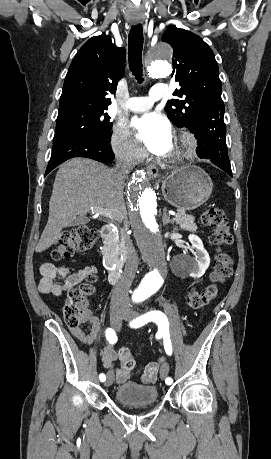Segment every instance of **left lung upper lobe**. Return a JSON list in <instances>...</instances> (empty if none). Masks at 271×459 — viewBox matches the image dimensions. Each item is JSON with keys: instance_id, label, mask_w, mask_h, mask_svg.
<instances>
[{"instance_id": "1", "label": "left lung upper lobe", "mask_w": 271, "mask_h": 459, "mask_svg": "<svg viewBox=\"0 0 271 459\" xmlns=\"http://www.w3.org/2000/svg\"><path fill=\"white\" fill-rule=\"evenodd\" d=\"M162 41L173 47V73L181 88L173 93L181 99L168 101L165 111L177 127H198L224 116L218 64L211 48L197 35L170 26Z\"/></svg>"}]
</instances>
